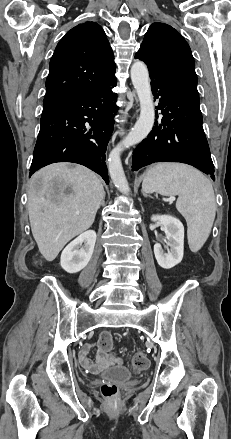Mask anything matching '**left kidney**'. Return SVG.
I'll list each match as a JSON object with an SVG mask.
<instances>
[{
    "label": "left kidney",
    "instance_id": "1",
    "mask_svg": "<svg viewBox=\"0 0 231 439\" xmlns=\"http://www.w3.org/2000/svg\"><path fill=\"white\" fill-rule=\"evenodd\" d=\"M153 222H160L168 239V251L165 253L161 244L154 245V254L158 264L164 269H170L179 264L184 253V226L182 222L170 215H153Z\"/></svg>",
    "mask_w": 231,
    "mask_h": 439
}]
</instances>
